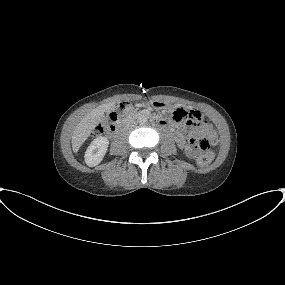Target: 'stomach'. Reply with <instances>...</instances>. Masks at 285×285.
<instances>
[{
    "mask_svg": "<svg viewBox=\"0 0 285 285\" xmlns=\"http://www.w3.org/2000/svg\"><path fill=\"white\" fill-rule=\"evenodd\" d=\"M151 105L154 109H165L167 107V104L163 102L153 101L151 102Z\"/></svg>",
    "mask_w": 285,
    "mask_h": 285,
    "instance_id": "stomach-1",
    "label": "stomach"
}]
</instances>
